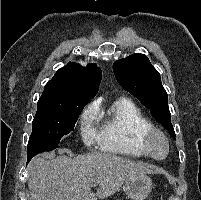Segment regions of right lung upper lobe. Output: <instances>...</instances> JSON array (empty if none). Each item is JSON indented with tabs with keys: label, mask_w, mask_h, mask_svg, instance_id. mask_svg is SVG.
I'll return each instance as SVG.
<instances>
[{
	"label": "right lung upper lobe",
	"mask_w": 201,
	"mask_h": 200,
	"mask_svg": "<svg viewBox=\"0 0 201 200\" xmlns=\"http://www.w3.org/2000/svg\"><path fill=\"white\" fill-rule=\"evenodd\" d=\"M102 79L101 69L96 64L83 68L69 62L59 69L45 85L41 97L56 100H91L99 89Z\"/></svg>",
	"instance_id": "right-lung-upper-lobe-1"
}]
</instances>
